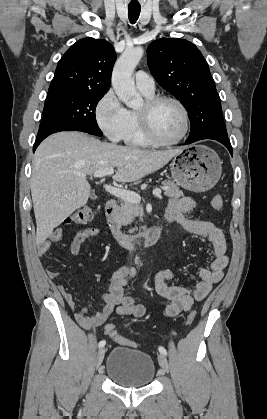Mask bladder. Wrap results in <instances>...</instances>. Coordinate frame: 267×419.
I'll return each instance as SVG.
<instances>
[{"label":"bladder","instance_id":"obj_1","mask_svg":"<svg viewBox=\"0 0 267 419\" xmlns=\"http://www.w3.org/2000/svg\"><path fill=\"white\" fill-rule=\"evenodd\" d=\"M155 363L143 351L117 346L113 348L106 361L105 373L122 387H143L155 377Z\"/></svg>","mask_w":267,"mask_h":419}]
</instances>
